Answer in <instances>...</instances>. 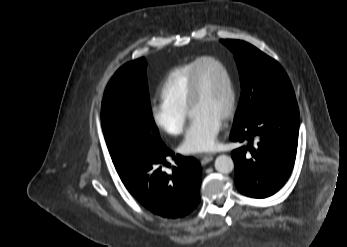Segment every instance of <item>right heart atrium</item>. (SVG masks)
I'll list each match as a JSON object with an SVG mask.
<instances>
[{
	"label": "right heart atrium",
	"instance_id": "d8ad5b80",
	"mask_svg": "<svg viewBox=\"0 0 347 247\" xmlns=\"http://www.w3.org/2000/svg\"><path fill=\"white\" fill-rule=\"evenodd\" d=\"M151 118L155 127L169 136H178L182 133L187 112L164 102L155 103L150 109Z\"/></svg>",
	"mask_w": 347,
	"mask_h": 247
}]
</instances>
